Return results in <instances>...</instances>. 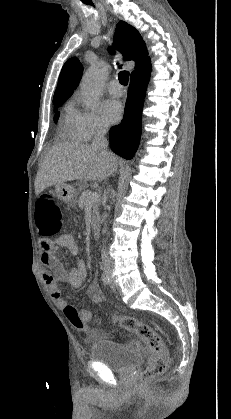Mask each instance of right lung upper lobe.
<instances>
[{
    "instance_id": "obj_1",
    "label": "right lung upper lobe",
    "mask_w": 231,
    "mask_h": 419,
    "mask_svg": "<svg viewBox=\"0 0 231 419\" xmlns=\"http://www.w3.org/2000/svg\"><path fill=\"white\" fill-rule=\"evenodd\" d=\"M113 45L123 54L124 60H134L136 62L132 73L150 62L146 45L141 35L134 27L124 21L118 22L116 26ZM109 51L114 53L112 48H109ZM82 71L83 66L76 57L69 59L63 65L53 101L66 99L73 93L74 89L78 86Z\"/></svg>"
}]
</instances>
